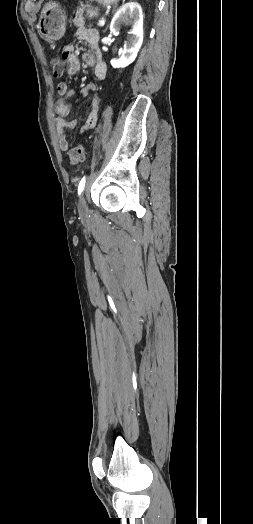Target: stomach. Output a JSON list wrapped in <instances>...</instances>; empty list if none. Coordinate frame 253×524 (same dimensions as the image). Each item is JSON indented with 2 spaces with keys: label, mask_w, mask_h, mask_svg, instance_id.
Here are the masks:
<instances>
[{
  "label": "stomach",
  "mask_w": 253,
  "mask_h": 524,
  "mask_svg": "<svg viewBox=\"0 0 253 524\" xmlns=\"http://www.w3.org/2000/svg\"><path fill=\"white\" fill-rule=\"evenodd\" d=\"M101 5L109 6L119 2V0H95ZM66 14L64 9L55 2L47 3L40 15L38 30L40 34L48 40H59L66 30Z\"/></svg>",
  "instance_id": "obj_1"
}]
</instances>
